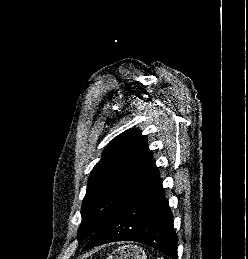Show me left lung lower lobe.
Wrapping results in <instances>:
<instances>
[{
    "mask_svg": "<svg viewBox=\"0 0 248 259\" xmlns=\"http://www.w3.org/2000/svg\"><path fill=\"white\" fill-rule=\"evenodd\" d=\"M163 191L161 182L129 204L90 238L84 251L109 242L135 241L177 259L178 245L173 215Z\"/></svg>",
    "mask_w": 248,
    "mask_h": 259,
    "instance_id": "0a47b994",
    "label": "left lung lower lobe"
}]
</instances>
